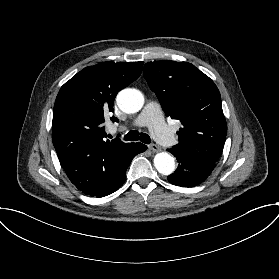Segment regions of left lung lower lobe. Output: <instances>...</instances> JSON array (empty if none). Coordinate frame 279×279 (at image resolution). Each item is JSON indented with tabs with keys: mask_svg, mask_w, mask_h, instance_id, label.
Wrapping results in <instances>:
<instances>
[{
	"mask_svg": "<svg viewBox=\"0 0 279 279\" xmlns=\"http://www.w3.org/2000/svg\"><path fill=\"white\" fill-rule=\"evenodd\" d=\"M167 150L172 153L179 162L175 173L168 176V181L174 185L194 187L209 176L216 164V162L183 153L176 148Z\"/></svg>",
	"mask_w": 279,
	"mask_h": 279,
	"instance_id": "0a47b994",
	"label": "left lung lower lobe"
}]
</instances>
